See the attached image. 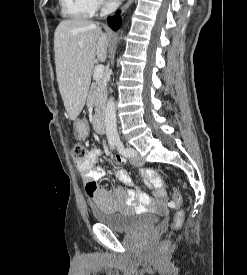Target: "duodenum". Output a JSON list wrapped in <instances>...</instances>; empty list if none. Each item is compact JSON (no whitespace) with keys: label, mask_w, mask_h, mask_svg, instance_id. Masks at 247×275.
<instances>
[{"label":"duodenum","mask_w":247,"mask_h":275,"mask_svg":"<svg viewBox=\"0 0 247 275\" xmlns=\"http://www.w3.org/2000/svg\"><path fill=\"white\" fill-rule=\"evenodd\" d=\"M94 127L97 133L103 134L106 132V121L103 113L96 115L94 119Z\"/></svg>","instance_id":"410a0bca"}]
</instances>
